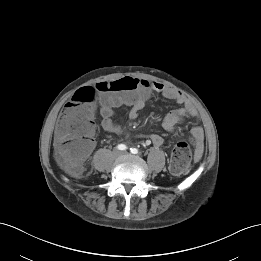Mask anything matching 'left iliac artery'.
<instances>
[{
    "label": "left iliac artery",
    "instance_id": "obj_1",
    "mask_svg": "<svg viewBox=\"0 0 261 261\" xmlns=\"http://www.w3.org/2000/svg\"><path fill=\"white\" fill-rule=\"evenodd\" d=\"M130 152H131L132 154H137V153H138V149H136V148H130Z\"/></svg>",
    "mask_w": 261,
    "mask_h": 261
}]
</instances>
